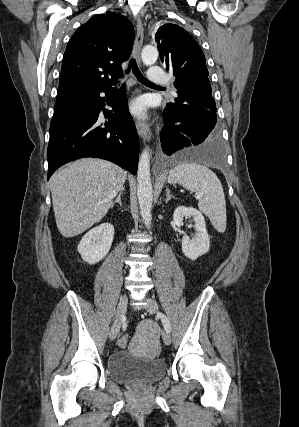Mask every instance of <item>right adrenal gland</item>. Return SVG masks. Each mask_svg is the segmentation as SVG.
<instances>
[{"instance_id": "right-adrenal-gland-1", "label": "right adrenal gland", "mask_w": 299, "mask_h": 427, "mask_svg": "<svg viewBox=\"0 0 299 427\" xmlns=\"http://www.w3.org/2000/svg\"><path fill=\"white\" fill-rule=\"evenodd\" d=\"M124 188L121 189V191L118 193L116 199L111 204V208L114 207L115 203H118L122 207V201H121V195L123 194Z\"/></svg>"}]
</instances>
